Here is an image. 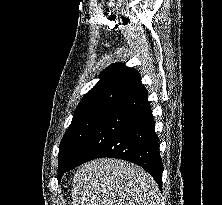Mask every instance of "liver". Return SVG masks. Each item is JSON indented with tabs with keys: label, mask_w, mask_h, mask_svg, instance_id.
Returning <instances> with one entry per match:
<instances>
[{
	"label": "liver",
	"mask_w": 222,
	"mask_h": 205,
	"mask_svg": "<svg viewBox=\"0 0 222 205\" xmlns=\"http://www.w3.org/2000/svg\"><path fill=\"white\" fill-rule=\"evenodd\" d=\"M73 205H160L159 188L141 167L101 158L83 164L72 183Z\"/></svg>",
	"instance_id": "6515ba94"
}]
</instances>
